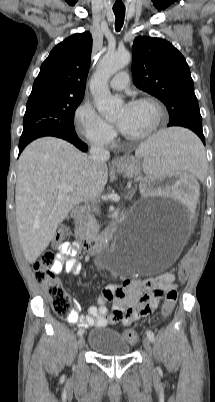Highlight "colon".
<instances>
[{"mask_svg":"<svg viewBox=\"0 0 215 402\" xmlns=\"http://www.w3.org/2000/svg\"><path fill=\"white\" fill-rule=\"evenodd\" d=\"M64 229H59L53 239V244H58L64 237ZM197 248L195 243H192L186 248V258L181 266L180 274L185 277L188 272V260H198L199 253L194 251ZM55 264V254L52 250H46L41 254L38 260L34 264L35 278L42 285V287L47 292L53 311L58 316H66L70 312L69 297L63 290L59 280L57 279V274L52 270ZM172 275L171 273H167ZM164 293V292H163ZM161 294V296L163 295ZM177 299V292L175 289H168L165 295V305L164 313L167 314L172 309L175 301ZM152 306H146L145 311L151 312ZM123 337L129 343H135L138 340V334L133 329H126L123 331Z\"/></svg>","mask_w":215,"mask_h":402,"instance_id":"1","label":"colon"}]
</instances>
